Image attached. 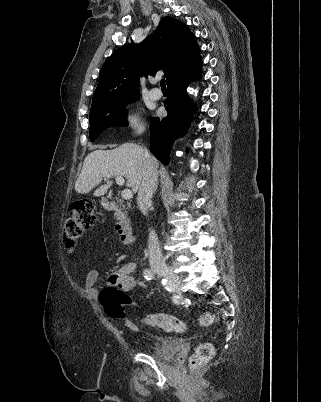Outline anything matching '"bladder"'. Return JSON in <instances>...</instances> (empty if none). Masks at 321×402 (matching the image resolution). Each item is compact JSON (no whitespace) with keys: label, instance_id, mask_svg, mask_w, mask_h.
<instances>
[{"label":"bladder","instance_id":"bladder-1","mask_svg":"<svg viewBox=\"0 0 321 402\" xmlns=\"http://www.w3.org/2000/svg\"><path fill=\"white\" fill-rule=\"evenodd\" d=\"M176 351L175 342L169 337H163L153 350L154 355L162 359H171L176 354Z\"/></svg>","mask_w":321,"mask_h":402}]
</instances>
